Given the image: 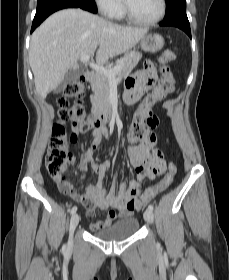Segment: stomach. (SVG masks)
<instances>
[{"instance_id": "0dacf381", "label": "stomach", "mask_w": 229, "mask_h": 280, "mask_svg": "<svg viewBox=\"0 0 229 280\" xmlns=\"http://www.w3.org/2000/svg\"><path fill=\"white\" fill-rule=\"evenodd\" d=\"M140 45L145 52L155 53L163 48L164 39L156 33L148 34L140 40Z\"/></svg>"}]
</instances>
